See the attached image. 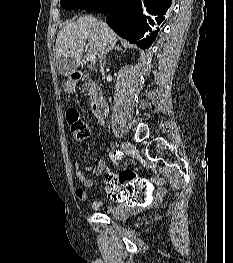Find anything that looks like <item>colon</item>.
<instances>
[{
	"mask_svg": "<svg viewBox=\"0 0 233 263\" xmlns=\"http://www.w3.org/2000/svg\"><path fill=\"white\" fill-rule=\"evenodd\" d=\"M69 125V134L74 144L82 142L88 136V127L80 119L76 109L70 108L66 114ZM118 174V175H117ZM117 174L106 171L107 198L111 202H125L130 207L144 208L147 202H153L154 182L141 178L143 171L137 169H117Z\"/></svg>",
	"mask_w": 233,
	"mask_h": 263,
	"instance_id": "colon-1",
	"label": "colon"
}]
</instances>
